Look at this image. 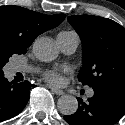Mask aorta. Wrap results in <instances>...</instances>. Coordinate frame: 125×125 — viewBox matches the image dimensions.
Returning a JSON list of instances; mask_svg holds the SVG:
<instances>
[{
	"label": "aorta",
	"mask_w": 125,
	"mask_h": 125,
	"mask_svg": "<svg viewBox=\"0 0 125 125\" xmlns=\"http://www.w3.org/2000/svg\"><path fill=\"white\" fill-rule=\"evenodd\" d=\"M35 56L44 62L54 60L58 56V50L54 41L47 37H41L33 43ZM57 107L63 115H72L78 109V102L74 96L63 95L57 101Z\"/></svg>",
	"instance_id": "obj_1"
}]
</instances>
